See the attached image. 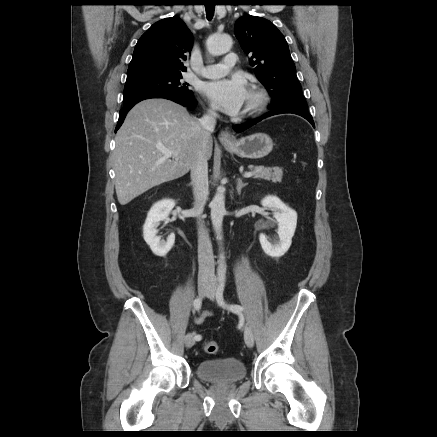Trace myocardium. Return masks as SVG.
Listing matches in <instances>:
<instances>
[{
    "instance_id": "f54148a6",
    "label": "myocardium",
    "mask_w": 437,
    "mask_h": 437,
    "mask_svg": "<svg viewBox=\"0 0 437 437\" xmlns=\"http://www.w3.org/2000/svg\"><path fill=\"white\" fill-rule=\"evenodd\" d=\"M250 93L254 95L255 101L250 107L244 110L243 117H252L259 114L265 109L269 101L267 92L259 86H253L250 89Z\"/></svg>"
}]
</instances>
